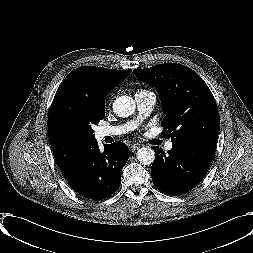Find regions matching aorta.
<instances>
[{"label": "aorta", "mask_w": 253, "mask_h": 253, "mask_svg": "<svg viewBox=\"0 0 253 253\" xmlns=\"http://www.w3.org/2000/svg\"><path fill=\"white\" fill-rule=\"evenodd\" d=\"M135 100L129 96H120L113 103L114 113L122 118L129 117L135 111ZM138 161L143 165H150L155 160V152L148 147H142L137 152Z\"/></svg>", "instance_id": "obj_1"}]
</instances>
